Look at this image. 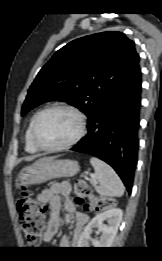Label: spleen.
Segmentation results:
<instances>
[{
  "label": "spleen",
  "instance_id": "spleen-1",
  "mask_svg": "<svg viewBox=\"0 0 162 261\" xmlns=\"http://www.w3.org/2000/svg\"><path fill=\"white\" fill-rule=\"evenodd\" d=\"M90 163L95 170L94 178L99 185L95 190L101 196L120 197L124 194V185L117 173L102 160L92 157Z\"/></svg>",
  "mask_w": 162,
  "mask_h": 261
}]
</instances>
